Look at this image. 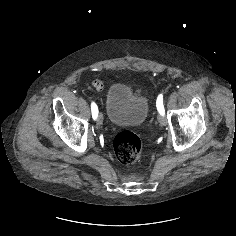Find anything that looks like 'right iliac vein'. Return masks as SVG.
Returning <instances> with one entry per match:
<instances>
[{"label":"right iliac vein","mask_w":236,"mask_h":236,"mask_svg":"<svg viewBox=\"0 0 236 236\" xmlns=\"http://www.w3.org/2000/svg\"><path fill=\"white\" fill-rule=\"evenodd\" d=\"M97 122L100 125L103 123V115L101 113H99V115H98Z\"/></svg>","instance_id":"obj_1"}]
</instances>
